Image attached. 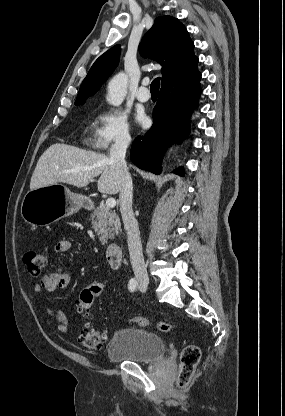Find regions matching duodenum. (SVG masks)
Instances as JSON below:
<instances>
[{
    "label": "duodenum",
    "mask_w": 285,
    "mask_h": 416,
    "mask_svg": "<svg viewBox=\"0 0 285 416\" xmlns=\"http://www.w3.org/2000/svg\"><path fill=\"white\" fill-rule=\"evenodd\" d=\"M95 203V200L92 197H83L82 204L83 206H92ZM106 258L109 264V267L113 270H117L121 267L122 256H123V246L120 243H111L107 246L105 250Z\"/></svg>",
    "instance_id": "1"
}]
</instances>
